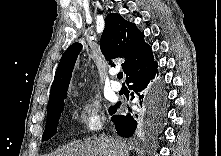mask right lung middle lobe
I'll use <instances>...</instances> for the list:
<instances>
[{
	"mask_svg": "<svg viewBox=\"0 0 221 156\" xmlns=\"http://www.w3.org/2000/svg\"><path fill=\"white\" fill-rule=\"evenodd\" d=\"M66 95L63 96L62 98H60L59 100H57L52 105L48 106L47 125H46L45 131L43 133V137H42L43 141L50 139L52 136H54L56 134L60 114L64 109V99L66 98ZM115 106L111 107L109 109L110 114L114 110Z\"/></svg>",
	"mask_w": 221,
	"mask_h": 156,
	"instance_id": "right-lung-middle-lobe-1",
	"label": "right lung middle lobe"
}]
</instances>
